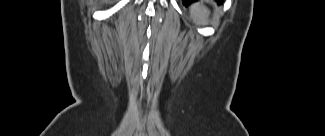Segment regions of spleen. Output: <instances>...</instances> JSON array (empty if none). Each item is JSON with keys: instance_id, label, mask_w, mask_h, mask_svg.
<instances>
[{"instance_id": "spleen-1", "label": "spleen", "mask_w": 325, "mask_h": 136, "mask_svg": "<svg viewBox=\"0 0 325 136\" xmlns=\"http://www.w3.org/2000/svg\"><path fill=\"white\" fill-rule=\"evenodd\" d=\"M190 15L196 25L209 24V11L202 3L194 4L190 9Z\"/></svg>"}]
</instances>
